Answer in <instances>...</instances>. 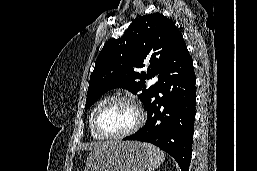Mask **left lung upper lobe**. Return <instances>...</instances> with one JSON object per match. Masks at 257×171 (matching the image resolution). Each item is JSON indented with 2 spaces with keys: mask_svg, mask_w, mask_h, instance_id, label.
<instances>
[{
  "mask_svg": "<svg viewBox=\"0 0 257 171\" xmlns=\"http://www.w3.org/2000/svg\"><path fill=\"white\" fill-rule=\"evenodd\" d=\"M186 46L175 24L160 13L148 14L134 20L119 39L107 41L95 62L90 77L85 110L105 92L125 88L146 106L156 90L145 80L160 76L169 57ZM150 63L147 72H139Z\"/></svg>",
  "mask_w": 257,
  "mask_h": 171,
  "instance_id": "left-lung-upper-lobe-1",
  "label": "left lung upper lobe"
}]
</instances>
